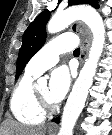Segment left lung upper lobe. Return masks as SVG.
Returning a JSON list of instances; mask_svg holds the SVG:
<instances>
[{
    "label": "left lung upper lobe",
    "instance_id": "5c2ea615",
    "mask_svg": "<svg viewBox=\"0 0 112 135\" xmlns=\"http://www.w3.org/2000/svg\"><path fill=\"white\" fill-rule=\"evenodd\" d=\"M59 3L61 0L58 1ZM69 5L89 4L98 8L97 0H69ZM50 18V11L40 13L29 25L23 35L22 46L17 59L16 78L21 74L28 61L43 46L46 38L45 26Z\"/></svg>",
    "mask_w": 112,
    "mask_h": 135
}]
</instances>
